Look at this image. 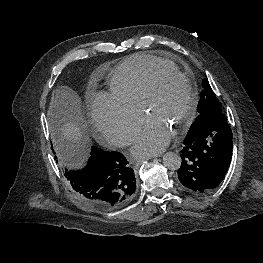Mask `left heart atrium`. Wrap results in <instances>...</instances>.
Here are the masks:
<instances>
[{
    "instance_id": "obj_1",
    "label": "left heart atrium",
    "mask_w": 263,
    "mask_h": 263,
    "mask_svg": "<svg viewBox=\"0 0 263 263\" xmlns=\"http://www.w3.org/2000/svg\"><path fill=\"white\" fill-rule=\"evenodd\" d=\"M171 136L165 126L148 117L135 137L132 151L136 156L159 153L169 144Z\"/></svg>"
}]
</instances>
